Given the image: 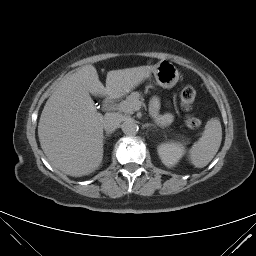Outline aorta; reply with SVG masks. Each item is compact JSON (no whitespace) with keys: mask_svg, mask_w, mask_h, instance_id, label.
Here are the masks:
<instances>
[{"mask_svg":"<svg viewBox=\"0 0 256 256\" xmlns=\"http://www.w3.org/2000/svg\"><path fill=\"white\" fill-rule=\"evenodd\" d=\"M121 129L126 135H135L138 131L137 124L132 120H126L121 124Z\"/></svg>","mask_w":256,"mask_h":256,"instance_id":"obj_1","label":"aorta"}]
</instances>
